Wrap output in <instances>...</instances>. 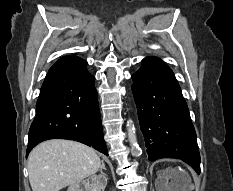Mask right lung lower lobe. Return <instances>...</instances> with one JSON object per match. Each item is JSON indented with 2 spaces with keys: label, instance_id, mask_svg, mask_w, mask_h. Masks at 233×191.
Listing matches in <instances>:
<instances>
[{
  "label": "right lung lower lobe",
  "instance_id": "1",
  "mask_svg": "<svg viewBox=\"0 0 233 191\" xmlns=\"http://www.w3.org/2000/svg\"><path fill=\"white\" fill-rule=\"evenodd\" d=\"M77 56L59 59L49 70L36 103L29 130V152L49 139H70L108 156L103 137L95 77Z\"/></svg>",
  "mask_w": 233,
  "mask_h": 191
}]
</instances>
